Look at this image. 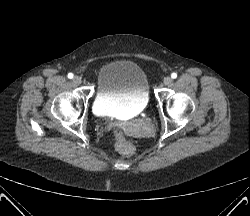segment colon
Masks as SVG:
<instances>
[{
    "mask_svg": "<svg viewBox=\"0 0 250 216\" xmlns=\"http://www.w3.org/2000/svg\"><path fill=\"white\" fill-rule=\"evenodd\" d=\"M114 134L116 139L115 145L120 153L125 155H131L135 152V145L131 141L126 139L122 128H115Z\"/></svg>",
    "mask_w": 250,
    "mask_h": 216,
    "instance_id": "colon-1",
    "label": "colon"
}]
</instances>
